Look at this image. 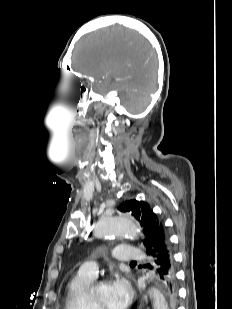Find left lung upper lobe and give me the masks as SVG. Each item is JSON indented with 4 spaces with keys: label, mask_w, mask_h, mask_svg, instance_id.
<instances>
[{
    "label": "left lung upper lobe",
    "mask_w": 232,
    "mask_h": 309,
    "mask_svg": "<svg viewBox=\"0 0 232 309\" xmlns=\"http://www.w3.org/2000/svg\"><path fill=\"white\" fill-rule=\"evenodd\" d=\"M118 210L121 212H128L132 215L141 225L144 239L142 244L145 247L146 251L152 248L156 239L159 236V230L163 229V223L160 218L152 211L148 203L130 200L122 203ZM173 302H177V294L174 292ZM166 301L169 307H171V300L168 299L166 295Z\"/></svg>",
    "instance_id": "obj_1"
}]
</instances>
